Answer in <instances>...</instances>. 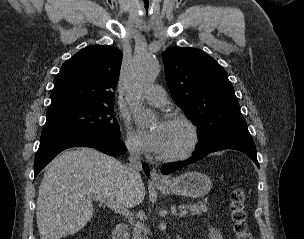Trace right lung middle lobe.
<instances>
[{
  "label": "right lung middle lobe",
  "instance_id": "1",
  "mask_svg": "<svg viewBox=\"0 0 304 239\" xmlns=\"http://www.w3.org/2000/svg\"><path fill=\"white\" fill-rule=\"evenodd\" d=\"M60 133H88L120 139L113 105L76 108L47 114L41 136Z\"/></svg>",
  "mask_w": 304,
  "mask_h": 239
}]
</instances>
